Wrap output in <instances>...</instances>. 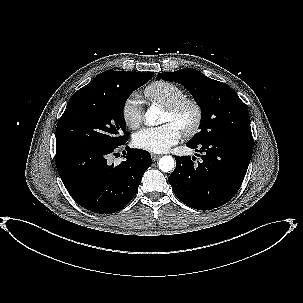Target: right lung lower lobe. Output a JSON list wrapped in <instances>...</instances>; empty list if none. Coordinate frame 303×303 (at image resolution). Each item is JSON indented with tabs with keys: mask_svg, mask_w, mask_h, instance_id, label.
Segmentation results:
<instances>
[{
	"mask_svg": "<svg viewBox=\"0 0 303 303\" xmlns=\"http://www.w3.org/2000/svg\"><path fill=\"white\" fill-rule=\"evenodd\" d=\"M127 142V141H126ZM117 146L70 145L56 148L55 162L72 198L96 213H115L136 195L151 156L142 149L126 147V159L114 166L108 158Z\"/></svg>",
	"mask_w": 303,
	"mask_h": 303,
	"instance_id": "98d812e1",
	"label": "right lung lower lobe"
}]
</instances>
